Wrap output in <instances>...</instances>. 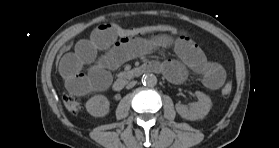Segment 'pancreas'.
Masks as SVG:
<instances>
[{
  "label": "pancreas",
  "mask_w": 279,
  "mask_h": 148,
  "mask_svg": "<svg viewBox=\"0 0 279 148\" xmlns=\"http://www.w3.org/2000/svg\"><path fill=\"white\" fill-rule=\"evenodd\" d=\"M130 75V72H121L118 77H129Z\"/></svg>",
  "instance_id": "1"
}]
</instances>
